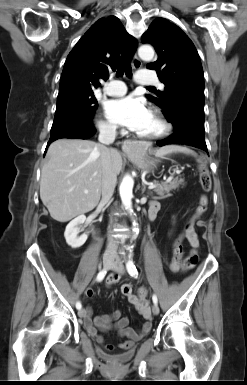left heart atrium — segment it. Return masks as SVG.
Wrapping results in <instances>:
<instances>
[{
  "instance_id": "left-heart-atrium-1",
  "label": "left heart atrium",
  "mask_w": 247,
  "mask_h": 385,
  "mask_svg": "<svg viewBox=\"0 0 247 385\" xmlns=\"http://www.w3.org/2000/svg\"><path fill=\"white\" fill-rule=\"evenodd\" d=\"M108 118L132 131H140L151 116L145 102L134 96L111 100L106 105Z\"/></svg>"
}]
</instances>
